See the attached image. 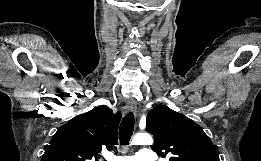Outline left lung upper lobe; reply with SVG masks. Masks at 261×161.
I'll list each match as a JSON object with an SVG mask.
<instances>
[{
  "label": "left lung upper lobe",
  "instance_id": "left-lung-upper-lobe-1",
  "mask_svg": "<svg viewBox=\"0 0 261 161\" xmlns=\"http://www.w3.org/2000/svg\"><path fill=\"white\" fill-rule=\"evenodd\" d=\"M146 130L153 134L151 148L169 161H220L216 145L191 119L165 105H158L147 115Z\"/></svg>",
  "mask_w": 261,
  "mask_h": 161
}]
</instances>
